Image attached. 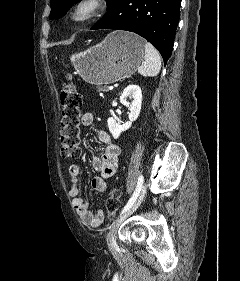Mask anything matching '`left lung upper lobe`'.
I'll return each instance as SVG.
<instances>
[{"instance_id":"5c2ea615","label":"left lung upper lobe","mask_w":240,"mask_h":281,"mask_svg":"<svg viewBox=\"0 0 240 281\" xmlns=\"http://www.w3.org/2000/svg\"><path fill=\"white\" fill-rule=\"evenodd\" d=\"M80 0H50L51 3V12L49 19H58L66 12L68 9L75 3ZM114 0H107V7L111 5Z\"/></svg>"}]
</instances>
